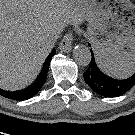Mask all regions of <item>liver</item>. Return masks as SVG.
<instances>
[{"label": "liver", "instance_id": "obj_1", "mask_svg": "<svg viewBox=\"0 0 135 135\" xmlns=\"http://www.w3.org/2000/svg\"><path fill=\"white\" fill-rule=\"evenodd\" d=\"M82 18L69 0H0V88L30 85L52 49L49 37Z\"/></svg>", "mask_w": 135, "mask_h": 135}]
</instances>
